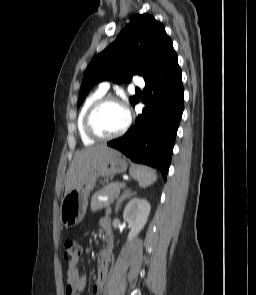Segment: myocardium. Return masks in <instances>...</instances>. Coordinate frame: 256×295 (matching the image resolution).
<instances>
[{
    "instance_id": "myocardium-1",
    "label": "myocardium",
    "mask_w": 256,
    "mask_h": 295,
    "mask_svg": "<svg viewBox=\"0 0 256 295\" xmlns=\"http://www.w3.org/2000/svg\"><path fill=\"white\" fill-rule=\"evenodd\" d=\"M107 103H115V104L119 105L120 107H122L125 114H126V121H125V124L123 125V127L120 130H118L117 132H115L111 135H101L98 132H96V130L94 129L93 124H92V119H93L95 112L100 107H102L104 104H107ZM130 123H131L130 113L126 109V107L123 105V103L115 96L104 95V96L100 97L99 99H97L87 110V112L85 114V118H84V130H85L86 134L91 139H93L95 141H99V142H105V141H110V140H113V139H116V138L122 136L129 128Z\"/></svg>"
}]
</instances>
